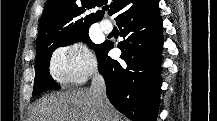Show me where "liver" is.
I'll return each instance as SVG.
<instances>
[{
    "mask_svg": "<svg viewBox=\"0 0 217 121\" xmlns=\"http://www.w3.org/2000/svg\"><path fill=\"white\" fill-rule=\"evenodd\" d=\"M106 107L110 121H120L119 113L109 101ZM31 119V121H105V116L90 90H76L42 98L33 108Z\"/></svg>",
    "mask_w": 217,
    "mask_h": 121,
    "instance_id": "liver-1",
    "label": "liver"
}]
</instances>
